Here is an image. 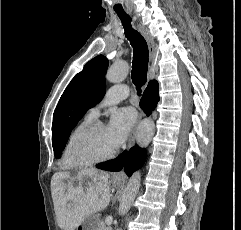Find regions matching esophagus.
<instances>
[{"label": "esophagus", "instance_id": "34e87169", "mask_svg": "<svg viewBox=\"0 0 241 230\" xmlns=\"http://www.w3.org/2000/svg\"><path fill=\"white\" fill-rule=\"evenodd\" d=\"M139 30H140V32L142 33L143 37L145 38V40L147 42L150 61H153V59L155 58V55H156L154 42L151 39V37L141 27H139ZM143 116H144V113L140 112L139 116H138V120H137L136 126L134 127V129H133V131H132V133L130 135V138H129V142H128V147L129 148H131L133 146L134 142H135V131H136L137 126L141 122ZM122 175H123L122 171L118 172L116 174V176H122Z\"/></svg>", "mask_w": 241, "mask_h": 230}]
</instances>
